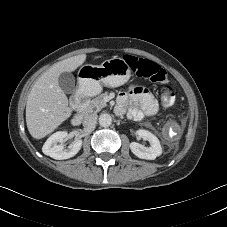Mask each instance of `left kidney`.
I'll return each mask as SVG.
<instances>
[{
  "mask_svg": "<svg viewBox=\"0 0 227 227\" xmlns=\"http://www.w3.org/2000/svg\"><path fill=\"white\" fill-rule=\"evenodd\" d=\"M136 133L139 138L149 141L150 146L145 147L137 142H131L130 149L134 155L141 159L154 160L162 154V146L154 134L144 129H140Z\"/></svg>",
  "mask_w": 227,
  "mask_h": 227,
  "instance_id": "1",
  "label": "left kidney"
}]
</instances>
